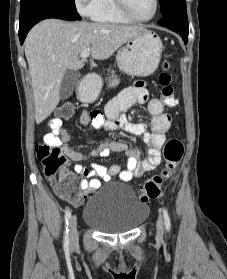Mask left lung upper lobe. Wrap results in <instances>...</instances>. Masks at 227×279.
Wrapping results in <instances>:
<instances>
[{
    "instance_id": "left-lung-upper-lobe-1",
    "label": "left lung upper lobe",
    "mask_w": 227,
    "mask_h": 279,
    "mask_svg": "<svg viewBox=\"0 0 227 279\" xmlns=\"http://www.w3.org/2000/svg\"><path fill=\"white\" fill-rule=\"evenodd\" d=\"M162 15L171 12L186 11L185 0H159Z\"/></svg>"
}]
</instances>
